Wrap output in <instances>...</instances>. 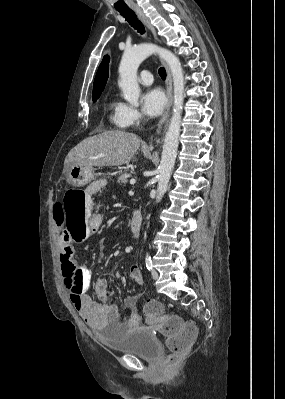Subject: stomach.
Listing matches in <instances>:
<instances>
[{"mask_svg": "<svg viewBox=\"0 0 285 399\" xmlns=\"http://www.w3.org/2000/svg\"><path fill=\"white\" fill-rule=\"evenodd\" d=\"M63 174L67 183L73 186H84L94 178V169L91 166L71 163L65 166Z\"/></svg>", "mask_w": 285, "mask_h": 399, "instance_id": "stomach-1", "label": "stomach"}]
</instances>
